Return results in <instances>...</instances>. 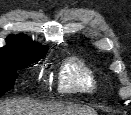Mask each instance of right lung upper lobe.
<instances>
[{"mask_svg":"<svg viewBox=\"0 0 131 115\" xmlns=\"http://www.w3.org/2000/svg\"><path fill=\"white\" fill-rule=\"evenodd\" d=\"M46 46L31 41L25 35L7 37V45L0 48V67H7L9 63L25 55H42L47 52Z\"/></svg>","mask_w":131,"mask_h":115,"instance_id":"cb5924a9","label":"right lung upper lobe"}]
</instances>
